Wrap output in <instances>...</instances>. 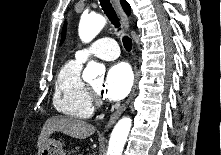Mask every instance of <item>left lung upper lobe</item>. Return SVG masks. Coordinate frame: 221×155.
<instances>
[{
    "instance_id": "5c2ea615",
    "label": "left lung upper lobe",
    "mask_w": 221,
    "mask_h": 155,
    "mask_svg": "<svg viewBox=\"0 0 221 155\" xmlns=\"http://www.w3.org/2000/svg\"><path fill=\"white\" fill-rule=\"evenodd\" d=\"M65 30H66V25H64V27H63V32H62V39H61V42H63V40H64V37H65Z\"/></svg>"
}]
</instances>
